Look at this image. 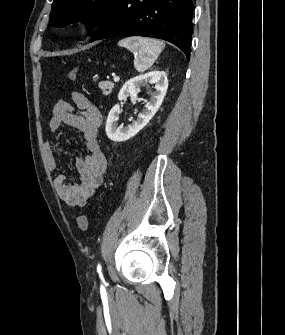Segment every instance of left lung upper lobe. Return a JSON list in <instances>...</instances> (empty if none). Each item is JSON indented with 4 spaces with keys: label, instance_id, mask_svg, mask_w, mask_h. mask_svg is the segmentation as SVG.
Instances as JSON below:
<instances>
[{
    "label": "left lung upper lobe",
    "instance_id": "obj_1",
    "mask_svg": "<svg viewBox=\"0 0 285 335\" xmlns=\"http://www.w3.org/2000/svg\"><path fill=\"white\" fill-rule=\"evenodd\" d=\"M116 0H54L50 24L63 27L82 17L87 23L100 21Z\"/></svg>",
    "mask_w": 285,
    "mask_h": 335
}]
</instances>
